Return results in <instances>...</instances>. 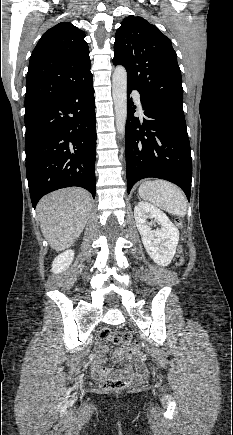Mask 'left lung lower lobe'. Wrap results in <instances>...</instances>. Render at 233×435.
I'll return each instance as SVG.
<instances>
[{"mask_svg":"<svg viewBox=\"0 0 233 435\" xmlns=\"http://www.w3.org/2000/svg\"><path fill=\"white\" fill-rule=\"evenodd\" d=\"M127 83L125 132L127 192L139 180L165 179L178 185L190 200L192 160L183 107L162 104L141 96L145 118L134 117Z\"/></svg>","mask_w":233,"mask_h":435,"instance_id":"obj_1","label":"left lung lower lobe"}]
</instances>
